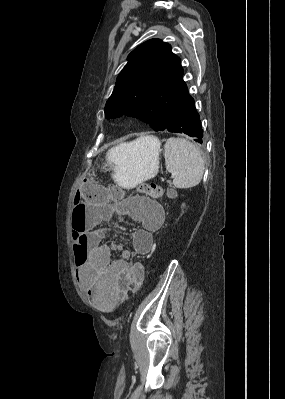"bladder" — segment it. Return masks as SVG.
<instances>
[{
    "instance_id": "31cf9c89",
    "label": "bladder",
    "mask_w": 285,
    "mask_h": 399,
    "mask_svg": "<svg viewBox=\"0 0 285 399\" xmlns=\"http://www.w3.org/2000/svg\"><path fill=\"white\" fill-rule=\"evenodd\" d=\"M134 200H142L143 202H145V203L148 204V205L154 204L151 200H148V199H146V198H140V197H138V199H137V198H134Z\"/></svg>"
}]
</instances>
